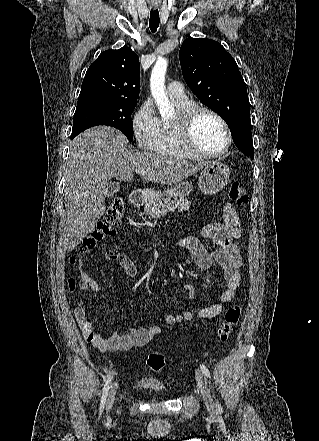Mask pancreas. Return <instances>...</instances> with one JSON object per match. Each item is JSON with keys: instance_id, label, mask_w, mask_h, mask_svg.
Wrapping results in <instances>:
<instances>
[{"instance_id": "cf45deb5", "label": "pancreas", "mask_w": 319, "mask_h": 441, "mask_svg": "<svg viewBox=\"0 0 319 441\" xmlns=\"http://www.w3.org/2000/svg\"><path fill=\"white\" fill-rule=\"evenodd\" d=\"M190 202L182 197L180 200H171L170 198L155 199L144 206V214L154 217L164 215L168 212H174L177 208L179 212L188 210Z\"/></svg>"}]
</instances>
